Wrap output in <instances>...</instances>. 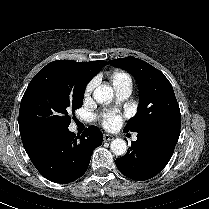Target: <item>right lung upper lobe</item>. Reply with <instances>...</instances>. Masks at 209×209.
I'll list each match as a JSON object with an SVG mask.
<instances>
[{"mask_svg": "<svg viewBox=\"0 0 209 209\" xmlns=\"http://www.w3.org/2000/svg\"><path fill=\"white\" fill-rule=\"evenodd\" d=\"M59 61H67V62H75L73 60H59ZM80 64L88 73L89 77L92 79L102 67L108 64V62L99 60V61H91V62H76ZM20 134L23 146L25 150H29L33 148L40 140L45 138V136L36 135L34 133L28 132L23 128H20Z\"/></svg>", "mask_w": 209, "mask_h": 209, "instance_id": "right-lung-upper-lobe-1", "label": "right lung upper lobe"}]
</instances>
